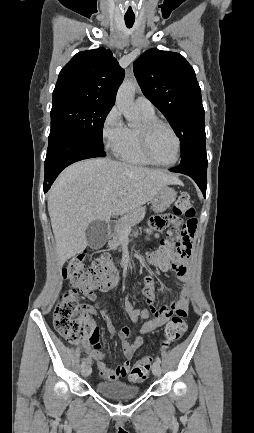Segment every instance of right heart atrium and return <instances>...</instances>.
Returning a JSON list of instances; mask_svg holds the SVG:
<instances>
[{"instance_id":"right-heart-atrium-1","label":"right heart atrium","mask_w":254,"mask_h":433,"mask_svg":"<svg viewBox=\"0 0 254 433\" xmlns=\"http://www.w3.org/2000/svg\"><path fill=\"white\" fill-rule=\"evenodd\" d=\"M126 126L124 125L119 109L112 107L103 119L101 136L103 143L111 152L116 153L124 138Z\"/></svg>"}]
</instances>
